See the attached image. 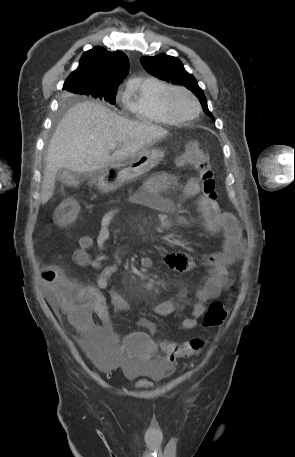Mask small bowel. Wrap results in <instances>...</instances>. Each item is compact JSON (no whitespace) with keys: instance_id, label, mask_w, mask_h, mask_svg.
<instances>
[{"instance_id":"1","label":"small bowel","mask_w":295,"mask_h":457,"mask_svg":"<svg viewBox=\"0 0 295 457\" xmlns=\"http://www.w3.org/2000/svg\"><path fill=\"white\" fill-rule=\"evenodd\" d=\"M174 187L180 188L186 198L198 197L197 206L206 227L212 233H222L223 235L222 250L204 257V264L209 267V277L204 286L196 292V302L192 307V315L182 320V328L191 330L197 326L198 318L205 313L206 302L216 299L222 291L231 286L228 267L234 264L241 255L243 237L241 227L235 216L222 211L216 202L208 201L200 195V185L194 178L182 179L180 176L168 173L153 176L145 182L141 190L129 197L123 206L143 205L157 210L163 216L175 215L177 224L186 229L189 226L188 220L184 216L176 214L174 203L161 195L162 191ZM121 208H114L105 214L95 239L88 235L81 236L78 240L79 246L73 253V260L78 266L101 269L96 285L83 287V295L86 299L83 313L76 320L69 318L78 338H113L109 323V311L103 295L104 290H108L110 301L117 311L127 312L132 309L118 289L110 286V280L118 272L117 267L115 265L104 266L107 260L104 253L96 258H91L88 253L94 244L102 252L106 241L118 233V229L112 226V220ZM164 262L168 267L179 272L189 271L195 266L191 257L179 252L165 255ZM141 264L144 267H149L152 264V259L142 257ZM54 283V278L44 273V284L48 291L49 301L53 309L58 310L60 305L55 296ZM176 309L175 300H166L154 305L151 311L159 316H167L175 312ZM92 314L101 320V325L93 321ZM139 324L150 330L151 333L156 330L155 324L146 318H141ZM151 341L153 340L151 339ZM172 363L168 364L171 365Z\"/></svg>"}]
</instances>
